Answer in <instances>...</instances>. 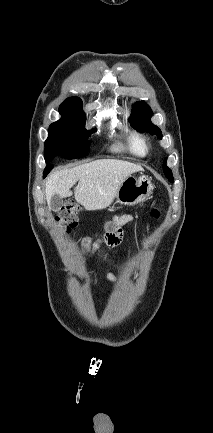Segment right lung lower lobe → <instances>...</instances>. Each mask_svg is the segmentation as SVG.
<instances>
[{
    "label": "right lung lower lobe",
    "mask_w": 213,
    "mask_h": 433,
    "mask_svg": "<svg viewBox=\"0 0 213 433\" xmlns=\"http://www.w3.org/2000/svg\"><path fill=\"white\" fill-rule=\"evenodd\" d=\"M53 162L54 161H50V162H46L47 163V166H46V168H45V170H44V173H43V177H46V175L49 173V171L52 169V164H53Z\"/></svg>",
    "instance_id": "1"
}]
</instances>
